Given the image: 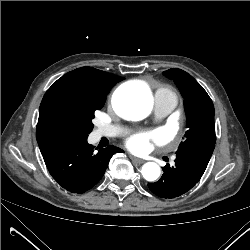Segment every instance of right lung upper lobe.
<instances>
[{
  "instance_id": "right-lung-upper-lobe-1",
  "label": "right lung upper lobe",
  "mask_w": 250,
  "mask_h": 250,
  "mask_svg": "<svg viewBox=\"0 0 250 250\" xmlns=\"http://www.w3.org/2000/svg\"><path fill=\"white\" fill-rule=\"evenodd\" d=\"M122 79L92 67H81L62 76L47 90L41 102L36 128L37 142L73 134L68 113L70 97L101 95Z\"/></svg>"
}]
</instances>
